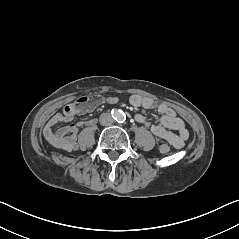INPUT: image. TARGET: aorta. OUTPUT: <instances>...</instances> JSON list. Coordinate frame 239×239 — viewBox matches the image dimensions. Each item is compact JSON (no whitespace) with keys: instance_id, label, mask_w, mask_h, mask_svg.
I'll return each mask as SVG.
<instances>
[{"instance_id":"aorta-1","label":"aorta","mask_w":239,"mask_h":239,"mask_svg":"<svg viewBox=\"0 0 239 239\" xmlns=\"http://www.w3.org/2000/svg\"><path fill=\"white\" fill-rule=\"evenodd\" d=\"M114 118L117 122H123L124 121V115L122 113H116Z\"/></svg>"}]
</instances>
